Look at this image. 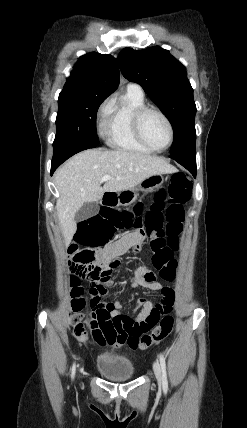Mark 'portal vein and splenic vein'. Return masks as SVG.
Returning <instances> with one entry per match:
<instances>
[{
	"label": "portal vein and splenic vein",
	"mask_w": 247,
	"mask_h": 428,
	"mask_svg": "<svg viewBox=\"0 0 247 428\" xmlns=\"http://www.w3.org/2000/svg\"><path fill=\"white\" fill-rule=\"evenodd\" d=\"M113 177L112 176H110V175H105V176H103L102 178H101V182H105V181H107V180H110V179H112Z\"/></svg>",
	"instance_id": "18ae733b"
}]
</instances>
